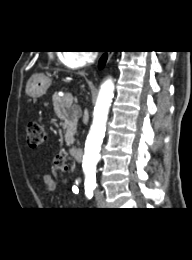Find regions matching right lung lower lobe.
<instances>
[{"instance_id":"right-lung-lower-lobe-1","label":"right lung lower lobe","mask_w":192,"mask_h":260,"mask_svg":"<svg viewBox=\"0 0 192 260\" xmlns=\"http://www.w3.org/2000/svg\"><path fill=\"white\" fill-rule=\"evenodd\" d=\"M106 60H107V54H104L101 59H100V62H99V68H103L105 63H106Z\"/></svg>"}]
</instances>
